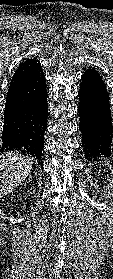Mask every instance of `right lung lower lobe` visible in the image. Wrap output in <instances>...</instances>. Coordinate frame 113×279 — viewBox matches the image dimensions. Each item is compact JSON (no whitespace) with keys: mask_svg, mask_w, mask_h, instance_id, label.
<instances>
[{"mask_svg":"<svg viewBox=\"0 0 113 279\" xmlns=\"http://www.w3.org/2000/svg\"><path fill=\"white\" fill-rule=\"evenodd\" d=\"M41 64L9 88L4 112L2 147L36 157L42 165L44 133L47 127V90Z\"/></svg>","mask_w":113,"mask_h":279,"instance_id":"obj_1","label":"right lung lower lobe"}]
</instances>
